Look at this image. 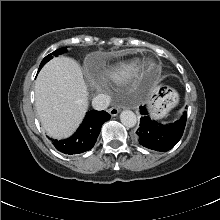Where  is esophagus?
I'll return each instance as SVG.
<instances>
[{
    "label": "esophagus",
    "mask_w": 220,
    "mask_h": 220,
    "mask_svg": "<svg viewBox=\"0 0 220 220\" xmlns=\"http://www.w3.org/2000/svg\"><path fill=\"white\" fill-rule=\"evenodd\" d=\"M120 109L118 107H111L108 112L110 113L111 116H116L118 115Z\"/></svg>",
    "instance_id": "34e87169"
}]
</instances>
